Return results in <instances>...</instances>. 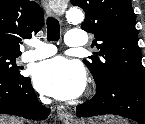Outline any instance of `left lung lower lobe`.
Instances as JSON below:
<instances>
[{
  "label": "left lung lower lobe",
  "instance_id": "1",
  "mask_svg": "<svg viewBox=\"0 0 145 124\" xmlns=\"http://www.w3.org/2000/svg\"><path fill=\"white\" fill-rule=\"evenodd\" d=\"M78 117L114 114L145 124L144 83L131 79H116L97 91L88 102L76 107Z\"/></svg>",
  "mask_w": 145,
  "mask_h": 124
}]
</instances>
